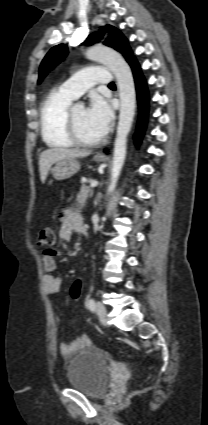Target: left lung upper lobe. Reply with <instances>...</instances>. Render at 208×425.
I'll use <instances>...</instances> for the list:
<instances>
[{"instance_id":"1","label":"left lung upper lobe","mask_w":208,"mask_h":425,"mask_svg":"<svg viewBox=\"0 0 208 425\" xmlns=\"http://www.w3.org/2000/svg\"><path fill=\"white\" fill-rule=\"evenodd\" d=\"M106 29L108 31V37L104 41V44L120 52L126 61L130 64V62L133 61L135 57L132 55V51L124 35L117 28L111 25H106ZM104 33L105 28L102 27L98 33L89 35L85 44L91 45L97 40L102 39ZM67 53V46L65 44H59L53 47L46 54L40 65L38 83L42 81V79L53 67L59 64L66 57Z\"/></svg>"}]
</instances>
